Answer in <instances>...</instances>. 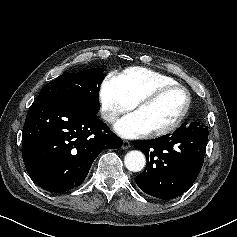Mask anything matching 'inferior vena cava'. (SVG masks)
I'll use <instances>...</instances> for the list:
<instances>
[{
	"mask_svg": "<svg viewBox=\"0 0 237 237\" xmlns=\"http://www.w3.org/2000/svg\"><path fill=\"white\" fill-rule=\"evenodd\" d=\"M101 116L104 120H106L108 122H113L116 119V115L112 112H109V111L102 112Z\"/></svg>",
	"mask_w": 237,
	"mask_h": 237,
	"instance_id": "1",
	"label": "inferior vena cava"
}]
</instances>
